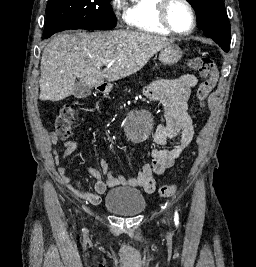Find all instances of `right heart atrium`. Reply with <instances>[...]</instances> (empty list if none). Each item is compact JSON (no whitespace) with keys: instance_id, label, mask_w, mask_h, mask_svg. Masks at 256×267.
Returning a JSON list of instances; mask_svg holds the SVG:
<instances>
[{"instance_id":"obj_1","label":"right heart atrium","mask_w":256,"mask_h":267,"mask_svg":"<svg viewBox=\"0 0 256 267\" xmlns=\"http://www.w3.org/2000/svg\"><path fill=\"white\" fill-rule=\"evenodd\" d=\"M117 22H121L127 25L132 24V19H131V12L127 11L123 13L122 15H117Z\"/></svg>"}]
</instances>
